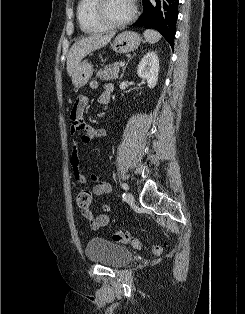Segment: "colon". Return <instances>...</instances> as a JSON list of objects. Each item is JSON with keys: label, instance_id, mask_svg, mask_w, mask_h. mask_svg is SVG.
<instances>
[{"label": "colon", "instance_id": "obj_1", "mask_svg": "<svg viewBox=\"0 0 245 314\" xmlns=\"http://www.w3.org/2000/svg\"><path fill=\"white\" fill-rule=\"evenodd\" d=\"M92 202L91 192L87 189L80 190L76 195V204L81 213H87L90 210ZM113 240L116 242L128 243L134 248H140L141 242L139 238L132 236L129 232L123 229L115 231L113 234ZM153 255L158 256L162 252L161 245H154L151 248Z\"/></svg>", "mask_w": 245, "mask_h": 314}]
</instances>
